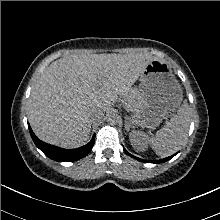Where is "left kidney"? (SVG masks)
<instances>
[{
	"instance_id": "5707ae66",
	"label": "left kidney",
	"mask_w": 220,
	"mask_h": 220,
	"mask_svg": "<svg viewBox=\"0 0 220 220\" xmlns=\"http://www.w3.org/2000/svg\"><path fill=\"white\" fill-rule=\"evenodd\" d=\"M131 145L137 151H145L147 149L148 137L139 131H132L129 136Z\"/></svg>"
}]
</instances>
